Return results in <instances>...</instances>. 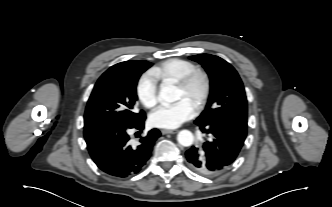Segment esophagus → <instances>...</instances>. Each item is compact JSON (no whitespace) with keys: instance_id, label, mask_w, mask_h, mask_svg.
Returning <instances> with one entry per match:
<instances>
[{"instance_id":"34e87169","label":"esophagus","mask_w":332,"mask_h":207,"mask_svg":"<svg viewBox=\"0 0 332 207\" xmlns=\"http://www.w3.org/2000/svg\"><path fill=\"white\" fill-rule=\"evenodd\" d=\"M177 131L176 130H167V129H163V130H161V133L163 134V135H165V134H174V133H176Z\"/></svg>"}]
</instances>
